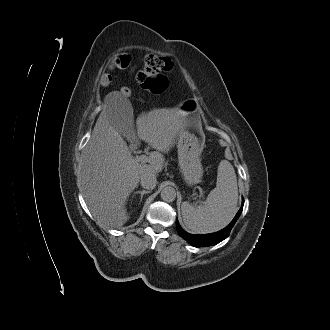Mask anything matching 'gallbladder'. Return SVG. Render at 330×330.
I'll return each mask as SVG.
<instances>
[{
	"instance_id": "1",
	"label": "gallbladder",
	"mask_w": 330,
	"mask_h": 330,
	"mask_svg": "<svg viewBox=\"0 0 330 330\" xmlns=\"http://www.w3.org/2000/svg\"><path fill=\"white\" fill-rule=\"evenodd\" d=\"M116 120L119 121L114 123V128L123 136L127 137L128 133L134 130L133 112L127 102H123L119 107L118 111L114 113Z\"/></svg>"
}]
</instances>
